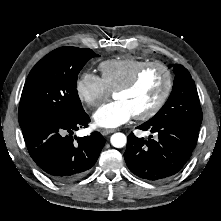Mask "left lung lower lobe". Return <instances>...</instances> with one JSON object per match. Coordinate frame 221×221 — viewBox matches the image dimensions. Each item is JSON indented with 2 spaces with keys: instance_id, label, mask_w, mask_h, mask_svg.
<instances>
[{
  "instance_id": "obj_1",
  "label": "left lung lower lobe",
  "mask_w": 221,
  "mask_h": 221,
  "mask_svg": "<svg viewBox=\"0 0 221 221\" xmlns=\"http://www.w3.org/2000/svg\"><path fill=\"white\" fill-rule=\"evenodd\" d=\"M140 130L156 133L146 141L133 133L128 136L124 158L129 170L149 181H163L176 175L189 160L198 140V132L178 121H147Z\"/></svg>"
}]
</instances>
